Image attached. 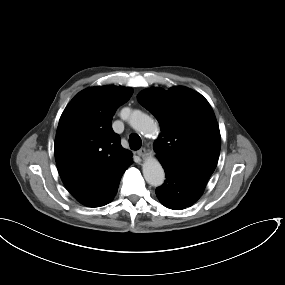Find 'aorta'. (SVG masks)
I'll return each mask as SVG.
<instances>
[{"mask_svg":"<svg viewBox=\"0 0 285 285\" xmlns=\"http://www.w3.org/2000/svg\"><path fill=\"white\" fill-rule=\"evenodd\" d=\"M121 116L134 130L142 135H154L158 131L154 120L139 110L125 108L122 110ZM142 169L144 178L148 184L155 187L163 184L165 173L158 159L152 156L146 158Z\"/></svg>","mask_w":285,"mask_h":285,"instance_id":"obj_1","label":"aorta"}]
</instances>
